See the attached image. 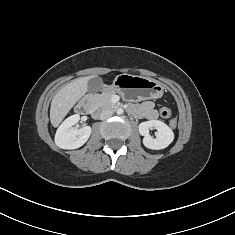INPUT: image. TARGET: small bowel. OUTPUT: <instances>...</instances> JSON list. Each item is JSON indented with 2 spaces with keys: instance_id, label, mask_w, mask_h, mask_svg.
I'll return each instance as SVG.
<instances>
[{
  "instance_id": "small-bowel-1",
  "label": "small bowel",
  "mask_w": 235,
  "mask_h": 235,
  "mask_svg": "<svg viewBox=\"0 0 235 235\" xmlns=\"http://www.w3.org/2000/svg\"><path fill=\"white\" fill-rule=\"evenodd\" d=\"M133 112L136 116L145 118L147 120H153L157 117V112L154 108V104L151 101H145L133 108Z\"/></svg>"
}]
</instances>
